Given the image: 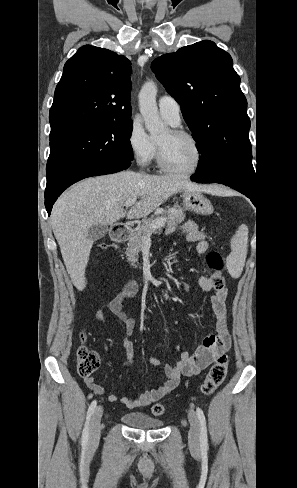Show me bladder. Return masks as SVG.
Returning a JSON list of instances; mask_svg holds the SVG:
<instances>
[{
    "mask_svg": "<svg viewBox=\"0 0 297 488\" xmlns=\"http://www.w3.org/2000/svg\"><path fill=\"white\" fill-rule=\"evenodd\" d=\"M122 422L134 429H159L163 426V422L159 419L153 418L142 412H128L121 416Z\"/></svg>",
    "mask_w": 297,
    "mask_h": 488,
    "instance_id": "bladder-1",
    "label": "bladder"
}]
</instances>
